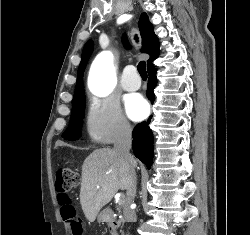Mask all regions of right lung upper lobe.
<instances>
[{"label": "right lung upper lobe", "mask_w": 250, "mask_h": 235, "mask_svg": "<svg viewBox=\"0 0 250 235\" xmlns=\"http://www.w3.org/2000/svg\"><path fill=\"white\" fill-rule=\"evenodd\" d=\"M139 28L142 36V52L148 53L150 55L147 64L159 53V41L157 36L154 34L153 26L149 22L148 16L146 13H143L139 20ZM123 43L127 47L128 41L126 36L123 37ZM93 50V43L89 40L83 49L81 63L79 65L78 74H77V85L75 88L74 97L79 96L80 94L84 93L83 87V73L87 61L92 53ZM73 97V98H74Z\"/></svg>", "instance_id": "1"}]
</instances>
